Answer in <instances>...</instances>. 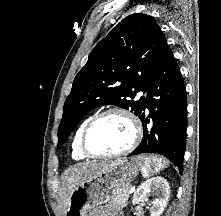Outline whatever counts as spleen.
<instances>
[{"label": "spleen", "mask_w": 221, "mask_h": 216, "mask_svg": "<svg viewBox=\"0 0 221 216\" xmlns=\"http://www.w3.org/2000/svg\"><path fill=\"white\" fill-rule=\"evenodd\" d=\"M137 163L141 167L142 176L144 178H149L150 176L163 170L168 165L167 160L158 158L154 155L138 156Z\"/></svg>", "instance_id": "spleen-1"}]
</instances>
